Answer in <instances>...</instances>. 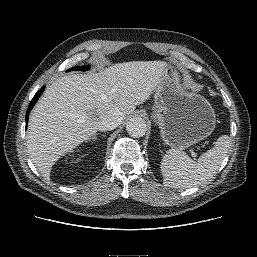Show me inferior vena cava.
<instances>
[{
  "label": "inferior vena cava",
  "instance_id": "inferior-vena-cava-1",
  "mask_svg": "<svg viewBox=\"0 0 257 257\" xmlns=\"http://www.w3.org/2000/svg\"><path fill=\"white\" fill-rule=\"evenodd\" d=\"M123 114L118 110H113L100 118L98 121V129L101 131L113 130L123 120Z\"/></svg>",
  "mask_w": 257,
  "mask_h": 257
}]
</instances>
